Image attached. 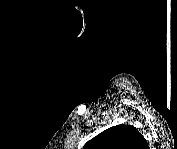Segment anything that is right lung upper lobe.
Listing matches in <instances>:
<instances>
[{
  "mask_svg": "<svg viewBox=\"0 0 177 149\" xmlns=\"http://www.w3.org/2000/svg\"><path fill=\"white\" fill-rule=\"evenodd\" d=\"M146 140L131 125H117L108 128L88 141L84 149H141Z\"/></svg>",
  "mask_w": 177,
  "mask_h": 149,
  "instance_id": "obj_1",
  "label": "right lung upper lobe"
}]
</instances>
